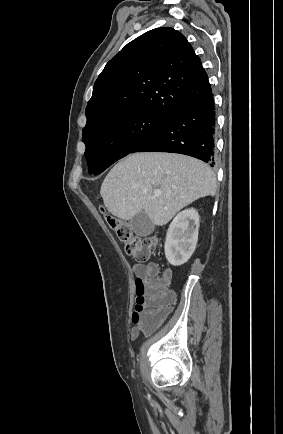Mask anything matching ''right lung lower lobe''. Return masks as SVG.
<instances>
[{
	"mask_svg": "<svg viewBox=\"0 0 283 434\" xmlns=\"http://www.w3.org/2000/svg\"><path fill=\"white\" fill-rule=\"evenodd\" d=\"M215 130L214 99L210 92L171 116L131 153H180L209 162L213 166Z\"/></svg>",
	"mask_w": 283,
	"mask_h": 434,
	"instance_id": "right-lung-lower-lobe-1",
	"label": "right lung lower lobe"
}]
</instances>
